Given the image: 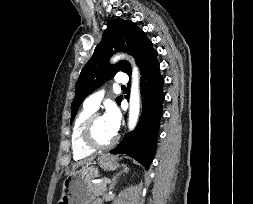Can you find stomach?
Returning <instances> with one entry per match:
<instances>
[{"mask_svg": "<svg viewBox=\"0 0 253 204\" xmlns=\"http://www.w3.org/2000/svg\"><path fill=\"white\" fill-rule=\"evenodd\" d=\"M94 163L83 165L78 170H72L63 181V192L58 204H92L97 196L92 189V179L99 176ZM98 166L107 171L120 167L116 156L102 154L98 158Z\"/></svg>", "mask_w": 253, "mask_h": 204, "instance_id": "obj_1", "label": "stomach"}]
</instances>
